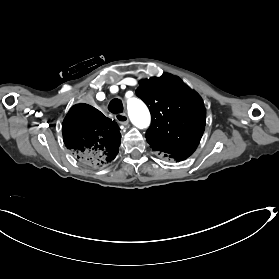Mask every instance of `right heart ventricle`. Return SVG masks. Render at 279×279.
<instances>
[{
  "instance_id": "obj_1",
  "label": "right heart ventricle",
  "mask_w": 279,
  "mask_h": 279,
  "mask_svg": "<svg viewBox=\"0 0 279 279\" xmlns=\"http://www.w3.org/2000/svg\"><path fill=\"white\" fill-rule=\"evenodd\" d=\"M107 59V56L101 52L91 56L88 60L90 62H100ZM136 100V93L134 91H127L121 98V103L125 109H128L130 105Z\"/></svg>"
}]
</instances>
